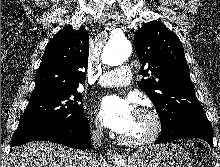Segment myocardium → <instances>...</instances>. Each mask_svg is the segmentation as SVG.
Returning <instances> with one entry per match:
<instances>
[{"label": "myocardium", "instance_id": "obj_1", "mask_svg": "<svg viewBox=\"0 0 220 167\" xmlns=\"http://www.w3.org/2000/svg\"><path fill=\"white\" fill-rule=\"evenodd\" d=\"M138 113L147 115L150 118L151 127L149 131L139 138H127L121 135L119 141L127 146H143L154 142L161 134L163 129V121L159 112L152 106L140 107Z\"/></svg>", "mask_w": 220, "mask_h": 167}]
</instances>
